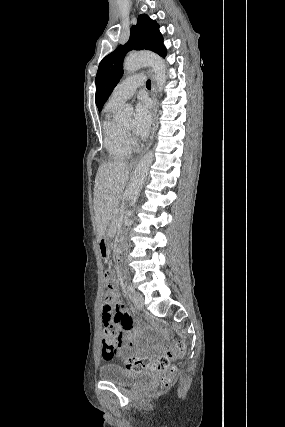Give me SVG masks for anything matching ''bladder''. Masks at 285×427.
<instances>
[{
	"label": "bladder",
	"instance_id": "1",
	"mask_svg": "<svg viewBox=\"0 0 285 427\" xmlns=\"http://www.w3.org/2000/svg\"><path fill=\"white\" fill-rule=\"evenodd\" d=\"M99 378L104 382H111L126 386L134 382L149 380L153 374L147 371L138 370L128 372L116 363H106L99 368Z\"/></svg>",
	"mask_w": 285,
	"mask_h": 427
}]
</instances>
